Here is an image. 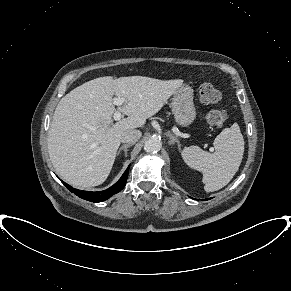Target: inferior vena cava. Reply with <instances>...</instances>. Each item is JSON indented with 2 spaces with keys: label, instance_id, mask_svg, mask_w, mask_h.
I'll use <instances>...</instances> for the list:
<instances>
[{
  "label": "inferior vena cava",
  "instance_id": "obj_1",
  "mask_svg": "<svg viewBox=\"0 0 291 291\" xmlns=\"http://www.w3.org/2000/svg\"><path fill=\"white\" fill-rule=\"evenodd\" d=\"M141 135L142 133L139 130L131 129L123 132L120 140L123 143L134 144L140 139Z\"/></svg>",
  "mask_w": 291,
  "mask_h": 291
}]
</instances>
